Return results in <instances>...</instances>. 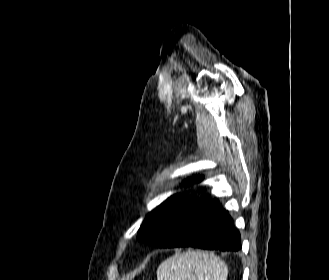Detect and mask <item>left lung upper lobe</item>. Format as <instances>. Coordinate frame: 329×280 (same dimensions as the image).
<instances>
[{
  "instance_id": "1",
  "label": "left lung upper lobe",
  "mask_w": 329,
  "mask_h": 280,
  "mask_svg": "<svg viewBox=\"0 0 329 280\" xmlns=\"http://www.w3.org/2000/svg\"><path fill=\"white\" fill-rule=\"evenodd\" d=\"M200 181H202V177L197 176L187 179L184 184L187 186ZM187 200L178 195L169 197L164 203L147 215L138 231L137 239L156 247L166 246L170 239L168 235L161 234V227L168 221L171 207L174 204L186 202Z\"/></svg>"
}]
</instances>
